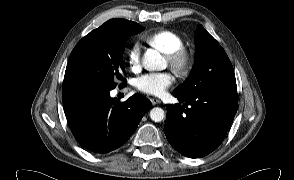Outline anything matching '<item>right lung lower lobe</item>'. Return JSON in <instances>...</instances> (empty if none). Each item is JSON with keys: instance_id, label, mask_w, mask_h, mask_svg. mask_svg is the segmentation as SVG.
Wrapping results in <instances>:
<instances>
[{"instance_id": "98d812e1", "label": "right lung lower lobe", "mask_w": 294, "mask_h": 180, "mask_svg": "<svg viewBox=\"0 0 294 180\" xmlns=\"http://www.w3.org/2000/svg\"><path fill=\"white\" fill-rule=\"evenodd\" d=\"M100 86L76 87L62 92L64 112L76 140L95 153L122 146L136 130L150 100L133 95L125 102L110 97Z\"/></svg>"}]
</instances>
